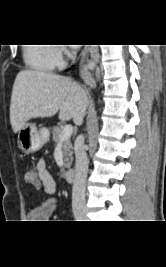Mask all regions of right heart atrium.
I'll list each match as a JSON object with an SVG mask.
<instances>
[{"label":"right heart atrium","instance_id":"d8ad5b80","mask_svg":"<svg viewBox=\"0 0 166 267\" xmlns=\"http://www.w3.org/2000/svg\"><path fill=\"white\" fill-rule=\"evenodd\" d=\"M57 53H58V55L59 54L60 55H65L67 53V51L65 49H63V48H59V49H57Z\"/></svg>","mask_w":166,"mask_h":267}]
</instances>
